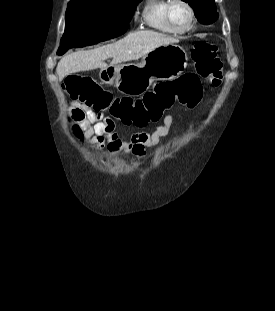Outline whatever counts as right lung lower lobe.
<instances>
[{"label": "right lung lower lobe", "mask_w": 275, "mask_h": 311, "mask_svg": "<svg viewBox=\"0 0 275 311\" xmlns=\"http://www.w3.org/2000/svg\"><path fill=\"white\" fill-rule=\"evenodd\" d=\"M128 28V27H127ZM127 28H122V30L119 32V34L117 35V36H119V35H121V34H123L126 30H127ZM116 36V37H117ZM111 39V38H110ZM100 42V41H99Z\"/></svg>", "instance_id": "98d812e1"}]
</instances>
